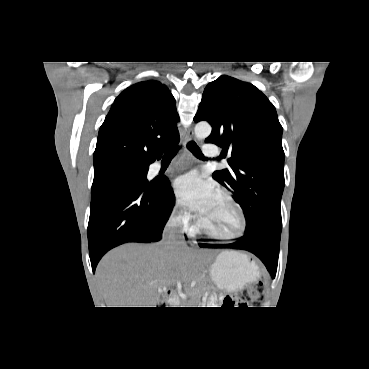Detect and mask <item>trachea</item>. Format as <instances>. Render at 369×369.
<instances>
[{
  "label": "trachea",
  "mask_w": 369,
  "mask_h": 369,
  "mask_svg": "<svg viewBox=\"0 0 369 369\" xmlns=\"http://www.w3.org/2000/svg\"><path fill=\"white\" fill-rule=\"evenodd\" d=\"M188 149L193 153V155L197 158H204L200 148L198 147V145L191 141L188 143ZM178 148H174L171 150H168L167 152H165L164 154V158L165 159H172L176 154H177Z\"/></svg>",
  "instance_id": "1"
}]
</instances>
